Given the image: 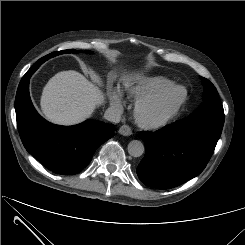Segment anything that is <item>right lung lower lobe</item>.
<instances>
[{"instance_id": "1", "label": "right lung lower lobe", "mask_w": 245, "mask_h": 245, "mask_svg": "<svg viewBox=\"0 0 245 245\" xmlns=\"http://www.w3.org/2000/svg\"><path fill=\"white\" fill-rule=\"evenodd\" d=\"M28 72L15 99L17 127L26 150L50 171L73 175L92 159L96 149L114 134V125L87 120L74 126H59L43 119L29 95Z\"/></svg>"}]
</instances>
